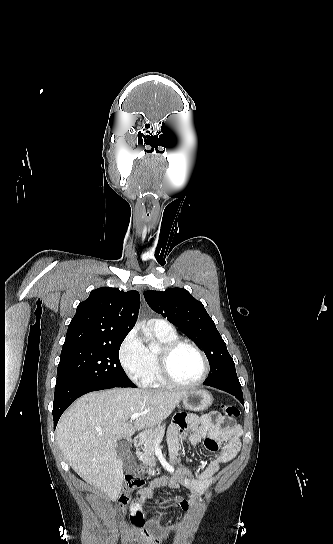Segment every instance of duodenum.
I'll return each mask as SVG.
<instances>
[{
	"label": "duodenum",
	"mask_w": 333,
	"mask_h": 544,
	"mask_svg": "<svg viewBox=\"0 0 333 544\" xmlns=\"http://www.w3.org/2000/svg\"><path fill=\"white\" fill-rule=\"evenodd\" d=\"M145 440V435L143 433L137 435L134 439V446L136 448L140 447ZM152 473H157V471H152Z\"/></svg>",
	"instance_id": "410a0bca"
}]
</instances>
